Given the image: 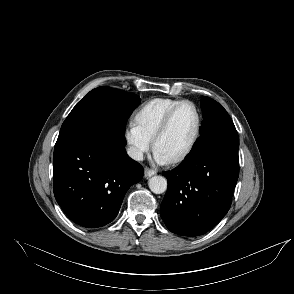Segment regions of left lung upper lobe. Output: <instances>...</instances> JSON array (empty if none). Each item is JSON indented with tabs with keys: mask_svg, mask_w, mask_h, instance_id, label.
<instances>
[{
	"mask_svg": "<svg viewBox=\"0 0 294 294\" xmlns=\"http://www.w3.org/2000/svg\"><path fill=\"white\" fill-rule=\"evenodd\" d=\"M203 122L200 134L214 132L220 129L235 128L226 110L215 100L203 97L201 100Z\"/></svg>",
	"mask_w": 294,
	"mask_h": 294,
	"instance_id": "obj_1",
	"label": "left lung upper lobe"
}]
</instances>
